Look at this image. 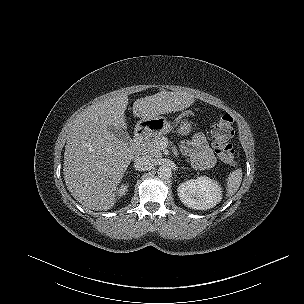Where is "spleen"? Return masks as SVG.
<instances>
[{
  "label": "spleen",
  "instance_id": "1",
  "mask_svg": "<svg viewBox=\"0 0 304 304\" xmlns=\"http://www.w3.org/2000/svg\"><path fill=\"white\" fill-rule=\"evenodd\" d=\"M243 177V171L241 168L233 170L226 178L225 188L226 196L231 198L239 189Z\"/></svg>",
  "mask_w": 304,
  "mask_h": 304
}]
</instances>
